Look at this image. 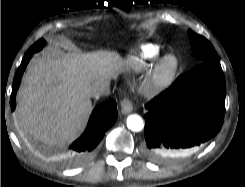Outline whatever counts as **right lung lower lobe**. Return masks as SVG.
<instances>
[{
    "instance_id": "obj_1",
    "label": "right lung lower lobe",
    "mask_w": 245,
    "mask_h": 187,
    "mask_svg": "<svg viewBox=\"0 0 245 187\" xmlns=\"http://www.w3.org/2000/svg\"><path fill=\"white\" fill-rule=\"evenodd\" d=\"M33 53L35 52L27 51L17 69L10 97L12 111L15 109V97L20 85L21 77ZM116 108V102L114 100H109L93 110L83 135L69 147L68 152L70 153L69 160L71 163L82 164L93 158L97 151L98 144L104 137L105 132L117 119L118 112Z\"/></svg>"
}]
</instances>
